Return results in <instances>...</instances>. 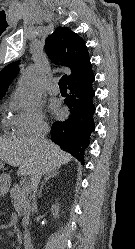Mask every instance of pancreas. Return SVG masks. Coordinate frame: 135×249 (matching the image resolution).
I'll use <instances>...</instances> for the list:
<instances>
[{"instance_id": "obj_1", "label": "pancreas", "mask_w": 135, "mask_h": 249, "mask_svg": "<svg viewBox=\"0 0 135 249\" xmlns=\"http://www.w3.org/2000/svg\"><path fill=\"white\" fill-rule=\"evenodd\" d=\"M11 198L14 200V207L18 212L28 215L30 211L29 193L18 184L13 185L10 190Z\"/></svg>"}]
</instances>
